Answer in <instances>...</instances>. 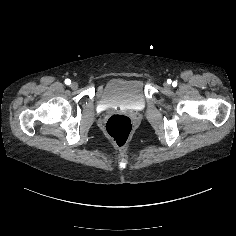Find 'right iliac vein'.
<instances>
[{
	"label": "right iliac vein",
	"instance_id": "1",
	"mask_svg": "<svg viewBox=\"0 0 236 236\" xmlns=\"http://www.w3.org/2000/svg\"><path fill=\"white\" fill-rule=\"evenodd\" d=\"M71 88H72L73 90H76V89L78 88V84H77L76 82H72V83H71Z\"/></svg>",
	"mask_w": 236,
	"mask_h": 236
}]
</instances>
